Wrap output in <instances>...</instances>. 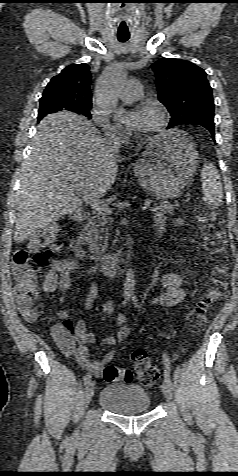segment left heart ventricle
I'll use <instances>...</instances> for the list:
<instances>
[{
    "label": "left heart ventricle",
    "mask_w": 238,
    "mask_h": 476,
    "mask_svg": "<svg viewBox=\"0 0 238 476\" xmlns=\"http://www.w3.org/2000/svg\"><path fill=\"white\" fill-rule=\"evenodd\" d=\"M146 110V117L143 129L140 134H144L151 130L157 123V113L150 107H143Z\"/></svg>",
    "instance_id": "obj_1"
}]
</instances>
